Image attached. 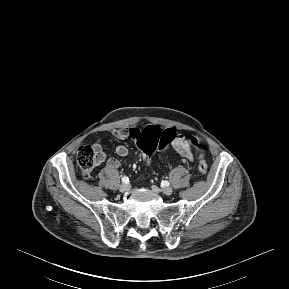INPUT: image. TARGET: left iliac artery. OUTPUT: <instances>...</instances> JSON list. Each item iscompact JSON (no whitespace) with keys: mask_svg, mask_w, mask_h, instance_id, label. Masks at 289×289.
<instances>
[{"mask_svg":"<svg viewBox=\"0 0 289 289\" xmlns=\"http://www.w3.org/2000/svg\"><path fill=\"white\" fill-rule=\"evenodd\" d=\"M162 184H163L164 186H169V185H170V183H169L168 181H162Z\"/></svg>","mask_w":289,"mask_h":289,"instance_id":"left-iliac-artery-1","label":"left iliac artery"}]
</instances>
